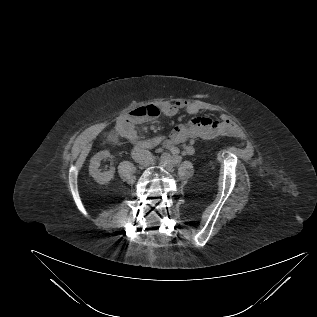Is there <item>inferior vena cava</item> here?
Returning <instances> with one entry per match:
<instances>
[{
    "label": "inferior vena cava",
    "instance_id": "602c4592",
    "mask_svg": "<svg viewBox=\"0 0 317 317\" xmlns=\"http://www.w3.org/2000/svg\"><path fill=\"white\" fill-rule=\"evenodd\" d=\"M131 155L136 162L144 166L150 165L153 161L151 152L139 147H135L132 150Z\"/></svg>",
    "mask_w": 317,
    "mask_h": 317
}]
</instances>
